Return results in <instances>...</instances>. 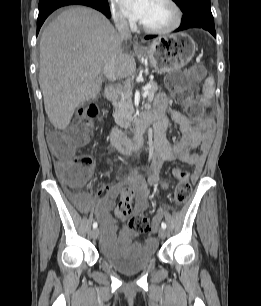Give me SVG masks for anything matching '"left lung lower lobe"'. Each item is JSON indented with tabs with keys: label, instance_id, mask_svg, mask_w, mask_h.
Masks as SVG:
<instances>
[{
	"label": "left lung lower lobe",
	"instance_id": "0a47b994",
	"mask_svg": "<svg viewBox=\"0 0 261 306\" xmlns=\"http://www.w3.org/2000/svg\"><path fill=\"white\" fill-rule=\"evenodd\" d=\"M188 28H203L216 37L214 19L211 12L203 9H194L183 14L181 25L175 32L186 30ZM155 35L146 36L145 39H151Z\"/></svg>",
	"mask_w": 261,
	"mask_h": 306
}]
</instances>
